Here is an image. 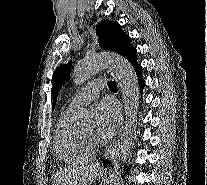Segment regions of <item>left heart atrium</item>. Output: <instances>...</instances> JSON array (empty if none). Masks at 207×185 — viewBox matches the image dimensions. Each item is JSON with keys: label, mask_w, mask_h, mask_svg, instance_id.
<instances>
[{"label": "left heart atrium", "mask_w": 207, "mask_h": 185, "mask_svg": "<svg viewBox=\"0 0 207 185\" xmlns=\"http://www.w3.org/2000/svg\"><path fill=\"white\" fill-rule=\"evenodd\" d=\"M97 131L104 138L112 137L120 121V111L115 102L105 99L96 107Z\"/></svg>", "instance_id": "left-heart-atrium-1"}]
</instances>
